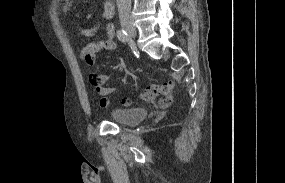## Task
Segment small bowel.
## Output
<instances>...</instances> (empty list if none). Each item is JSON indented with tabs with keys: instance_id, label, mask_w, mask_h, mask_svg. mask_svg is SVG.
Segmentation results:
<instances>
[{
	"instance_id": "1",
	"label": "small bowel",
	"mask_w": 285,
	"mask_h": 183,
	"mask_svg": "<svg viewBox=\"0 0 285 183\" xmlns=\"http://www.w3.org/2000/svg\"><path fill=\"white\" fill-rule=\"evenodd\" d=\"M64 5L62 6V11L64 13H69L72 7L71 0H63ZM114 14V5L111 0H104L103 2V11L102 18L104 20H109L113 17ZM76 29L78 30L79 35L83 38V47L80 52V59L87 65H93L96 61L98 54L103 51L114 50L116 47L114 41V26L111 23H108L104 27V38L91 42L87 41L84 38L93 36L97 30L98 25L87 29L83 28L79 24L75 23ZM89 81L94 87L97 94L100 96L99 105L101 107H107L110 104L108 96L115 91L113 87H107L106 81L107 76L102 73H90ZM175 89V83L173 81L165 82L161 85H151L149 86L141 95V99L144 101L151 100L155 97H160V104L164 107H167L172 102L173 92ZM128 97L123 98L122 102L124 105L125 100Z\"/></svg>"
}]
</instances>
